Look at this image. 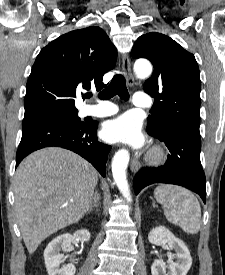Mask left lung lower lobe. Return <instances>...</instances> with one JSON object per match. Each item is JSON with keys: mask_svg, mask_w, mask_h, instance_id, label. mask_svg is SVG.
I'll return each instance as SVG.
<instances>
[{"mask_svg": "<svg viewBox=\"0 0 225 275\" xmlns=\"http://www.w3.org/2000/svg\"><path fill=\"white\" fill-rule=\"evenodd\" d=\"M147 132L163 141L170 154L163 166L144 168L136 174L134 178L135 194L153 183H170L198 193L205 203L206 181L200 162V134L177 130H170L161 135Z\"/></svg>", "mask_w": 225, "mask_h": 275, "instance_id": "0a47b994", "label": "left lung lower lobe"}]
</instances>
